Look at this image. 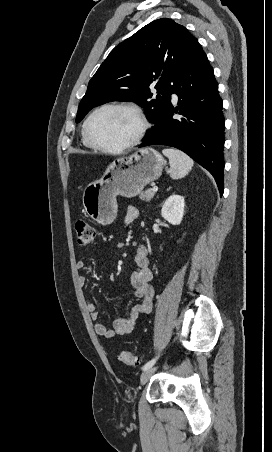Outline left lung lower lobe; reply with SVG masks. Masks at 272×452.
<instances>
[{"instance_id": "obj_1", "label": "left lung lower lobe", "mask_w": 272, "mask_h": 452, "mask_svg": "<svg viewBox=\"0 0 272 452\" xmlns=\"http://www.w3.org/2000/svg\"><path fill=\"white\" fill-rule=\"evenodd\" d=\"M172 93L178 95L179 106L174 108L169 102L140 147L162 144L181 149L213 175L222 196L223 104L213 69L199 43L175 79ZM174 113L181 117L173 119Z\"/></svg>"}]
</instances>
